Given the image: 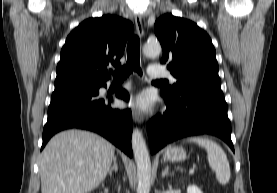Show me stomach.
Returning a JSON list of instances; mask_svg holds the SVG:
<instances>
[{
  "label": "stomach",
  "instance_id": "1",
  "mask_svg": "<svg viewBox=\"0 0 277 193\" xmlns=\"http://www.w3.org/2000/svg\"><path fill=\"white\" fill-rule=\"evenodd\" d=\"M186 158V152L182 147H168L164 153V160L171 162L183 161Z\"/></svg>",
  "mask_w": 277,
  "mask_h": 193
}]
</instances>
